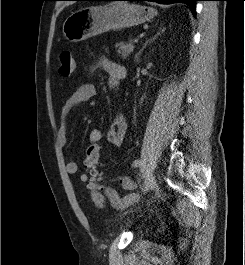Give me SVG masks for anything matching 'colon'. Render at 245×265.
I'll return each instance as SVG.
<instances>
[{"label":"colon","mask_w":245,"mask_h":265,"mask_svg":"<svg viewBox=\"0 0 245 265\" xmlns=\"http://www.w3.org/2000/svg\"><path fill=\"white\" fill-rule=\"evenodd\" d=\"M75 71V61L72 54L64 51L59 56V73L61 76L69 78ZM85 168L90 173V181L88 188L91 191L92 200L96 206L102 207L104 196L101 193L102 186L99 184L101 180V173L98 170L99 165V145L90 144L86 149L85 157L83 160Z\"/></svg>","instance_id":"1"}]
</instances>
